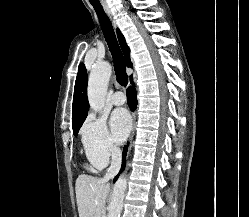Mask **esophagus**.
<instances>
[{"label":"esophagus","mask_w":249,"mask_h":217,"mask_svg":"<svg viewBox=\"0 0 249 217\" xmlns=\"http://www.w3.org/2000/svg\"><path fill=\"white\" fill-rule=\"evenodd\" d=\"M104 11L107 14L108 18L110 19V21L112 22L113 26L116 27V21H115V19L113 17V14H112L111 10L108 7L105 6ZM135 125H136V114L133 113V116H132V132H131V136H130V144L128 146V150H130V148H131V142H132L134 134H135Z\"/></svg>","instance_id":"esophagus-1"}]
</instances>
